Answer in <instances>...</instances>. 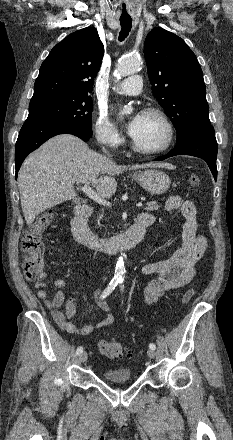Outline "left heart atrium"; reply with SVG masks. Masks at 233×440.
Masks as SVG:
<instances>
[{"mask_svg":"<svg viewBox=\"0 0 233 440\" xmlns=\"http://www.w3.org/2000/svg\"><path fill=\"white\" fill-rule=\"evenodd\" d=\"M141 114H136L133 117L129 119V121L126 124V128L128 133L133 136L138 128V125L140 123Z\"/></svg>","mask_w":233,"mask_h":440,"instance_id":"39dd6f15","label":"left heart atrium"}]
</instances>
